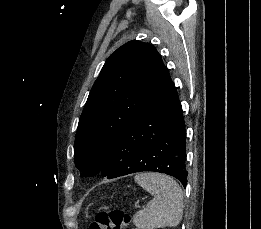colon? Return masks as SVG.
I'll list each match as a JSON object with an SVG mask.
<instances>
[{
    "label": "colon",
    "instance_id": "5ec220e1",
    "mask_svg": "<svg viewBox=\"0 0 261 229\" xmlns=\"http://www.w3.org/2000/svg\"><path fill=\"white\" fill-rule=\"evenodd\" d=\"M130 226L131 216L121 209H113L98 212L88 229H128Z\"/></svg>",
    "mask_w": 261,
    "mask_h": 229
}]
</instances>
